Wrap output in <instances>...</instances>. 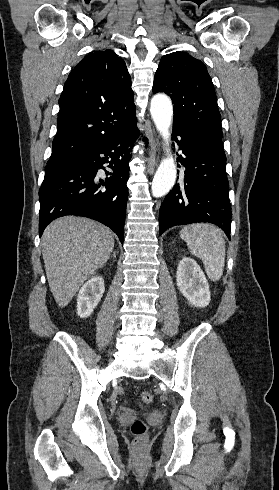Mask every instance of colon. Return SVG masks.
<instances>
[{"label": "colon", "mask_w": 279, "mask_h": 490, "mask_svg": "<svg viewBox=\"0 0 279 490\" xmlns=\"http://www.w3.org/2000/svg\"><path fill=\"white\" fill-rule=\"evenodd\" d=\"M154 400V396L150 391H145L140 395V403H151ZM131 432L137 436L138 441L144 440V433L146 432V425L141 420H136L131 425Z\"/></svg>", "instance_id": "5ec220e1"}]
</instances>
